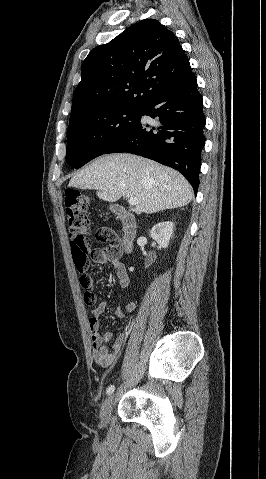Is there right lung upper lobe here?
Here are the masks:
<instances>
[{
	"instance_id": "right-lung-upper-lobe-1",
	"label": "right lung upper lobe",
	"mask_w": 266,
	"mask_h": 479,
	"mask_svg": "<svg viewBox=\"0 0 266 479\" xmlns=\"http://www.w3.org/2000/svg\"><path fill=\"white\" fill-rule=\"evenodd\" d=\"M81 73L70 121L118 108L143 107L156 92L192 71L173 32L155 19H145L95 47Z\"/></svg>"
}]
</instances>
